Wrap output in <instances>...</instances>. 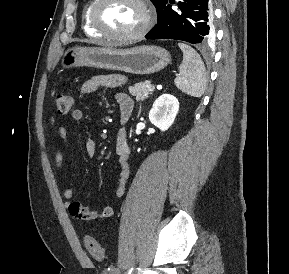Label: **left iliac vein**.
<instances>
[{
	"label": "left iliac vein",
	"mask_w": 289,
	"mask_h": 274,
	"mask_svg": "<svg viewBox=\"0 0 289 274\" xmlns=\"http://www.w3.org/2000/svg\"><path fill=\"white\" fill-rule=\"evenodd\" d=\"M110 274H120V269L118 268H113L110 272Z\"/></svg>",
	"instance_id": "1"
}]
</instances>
